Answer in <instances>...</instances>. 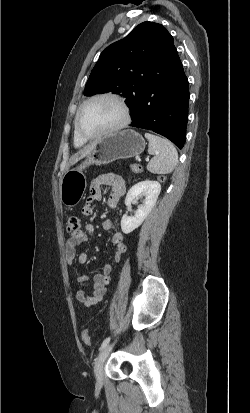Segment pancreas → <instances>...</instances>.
Here are the masks:
<instances>
[{
  "label": "pancreas",
  "mask_w": 250,
  "mask_h": 413,
  "mask_svg": "<svg viewBox=\"0 0 250 413\" xmlns=\"http://www.w3.org/2000/svg\"><path fill=\"white\" fill-rule=\"evenodd\" d=\"M132 170H133L135 173L141 172V170L138 168L137 165L132 166Z\"/></svg>",
  "instance_id": "cf45deb5"
}]
</instances>
